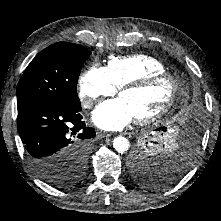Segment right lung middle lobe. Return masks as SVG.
<instances>
[{
	"mask_svg": "<svg viewBox=\"0 0 221 221\" xmlns=\"http://www.w3.org/2000/svg\"><path fill=\"white\" fill-rule=\"evenodd\" d=\"M91 52L68 42L50 45L26 68L17 88L18 107L32 100H52L80 106L77 82L83 63ZM90 141L76 144L62 165L53 164L38 174L56 187L75 184L84 174Z\"/></svg>",
	"mask_w": 221,
	"mask_h": 221,
	"instance_id": "obj_1",
	"label": "right lung middle lobe"
}]
</instances>
